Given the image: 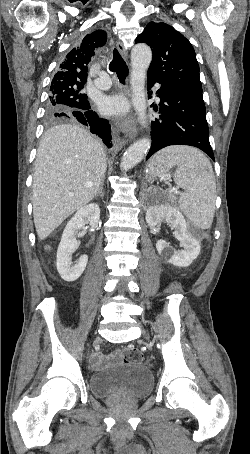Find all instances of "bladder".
I'll return each instance as SVG.
<instances>
[{"mask_svg":"<svg viewBox=\"0 0 250 454\" xmlns=\"http://www.w3.org/2000/svg\"><path fill=\"white\" fill-rule=\"evenodd\" d=\"M88 383L90 392L101 400H140L151 394L153 376L142 364L122 362L91 374Z\"/></svg>","mask_w":250,"mask_h":454,"instance_id":"obj_1","label":"bladder"}]
</instances>
